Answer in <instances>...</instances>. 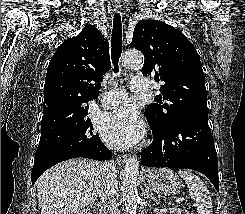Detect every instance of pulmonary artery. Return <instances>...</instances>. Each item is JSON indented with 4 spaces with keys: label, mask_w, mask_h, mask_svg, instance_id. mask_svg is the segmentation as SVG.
<instances>
[{
    "label": "pulmonary artery",
    "mask_w": 245,
    "mask_h": 214,
    "mask_svg": "<svg viewBox=\"0 0 245 214\" xmlns=\"http://www.w3.org/2000/svg\"><path fill=\"white\" fill-rule=\"evenodd\" d=\"M151 82L144 77H134L131 80V90L134 93L145 94L149 92ZM127 99V92L122 89H113L102 97V105L106 108L115 107Z\"/></svg>",
    "instance_id": "e3ab8cb5"
}]
</instances>
